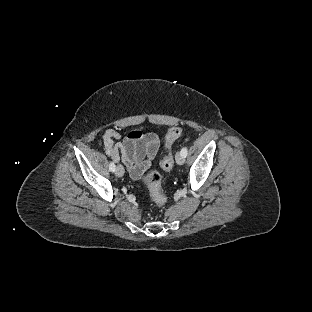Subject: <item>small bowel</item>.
<instances>
[{"label":"small bowel","instance_id":"obj_1","mask_svg":"<svg viewBox=\"0 0 312 312\" xmlns=\"http://www.w3.org/2000/svg\"><path fill=\"white\" fill-rule=\"evenodd\" d=\"M100 145L114 162L124 163L131 178L138 179L156 157L160 141L152 132L133 130L123 137L117 129H108L102 134Z\"/></svg>","mask_w":312,"mask_h":312}]
</instances>
